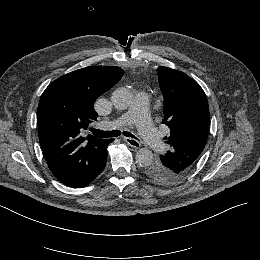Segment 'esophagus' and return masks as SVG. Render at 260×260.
Masks as SVG:
<instances>
[{"label": "esophagus", "mask_w": 260, "mask_h": 260, "mask_svg": "<svg viewBox=\"0 0 260 260\" xmlns=\"http://www.w3.org/2000/svg\"><path fill=\"white\" fill-rule=\"evenodd\" d=\"M124 140L131 147H134V148H140L141 147V143L136 139H133V138H130V137H125Z\"/></svg>", "instance_id": "esophagus-1"}]
</instances>
